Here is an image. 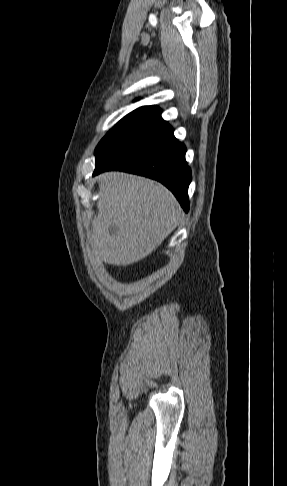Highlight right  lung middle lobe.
Listing matches in <instances>:
<instances>
[{"instance_id":"1","label":"right lung middle lobe","mask_w":287,"mask_h":486,"mask_svg":"<svg viewBox=\"0 0 287 486\" xmlns=\"http://www.w3.org/2000/svg\"><path fill=\"white\" fill-rule=\"evenodd\" d=\"M162 122L164 120L161 118L160 109L142 107L129 113L98 144L95 150L96 163L140 138Z\"/></svg>"}]
</instances>
